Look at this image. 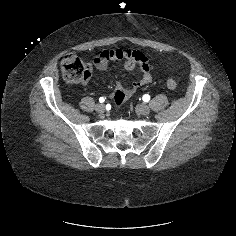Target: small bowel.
<instances>
[{"mask_svg": "<svg viewBox=\"0 0 236 236\" xmlns=\"http://www.w3.org/2000/svg\"><path fill=\"white\" fill-rule=\"evenodd\" d=\"M110 61H123V68L125 70H132L138 67L141 71L140 76L129 87H124L120 82L115 84L112 98L115 103L119 105L116 100V95L122 93L125 101L140 87L149 83L153 66L143 52L130 49H112L100 52L88 63V67L90 71L104 70Z\"/></svg>", "mask_w": 236, "mask_h": 236, "instance_id": "obj_1", "label": "small bowel"}]
</instances>
